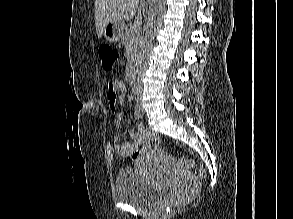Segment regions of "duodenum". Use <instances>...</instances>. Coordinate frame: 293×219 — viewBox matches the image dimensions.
Segmentation results:
<instances>
[{"label":"duodenum","mask_w":293,"mask_h":219,"mask_svg":"<svg viewBox=\"0 0 293 219\" xmlns=\"http://www.w3.org/2000/svg\"><path fill=\"white\" fill-rule=\"evenodd\" d=\"M127 78H128V81L135 85V82H136V76H135V69H134V66L131 65L128 69V72H127Z\"/></svg>","instance_id":"obj_1"}]
</instances>
